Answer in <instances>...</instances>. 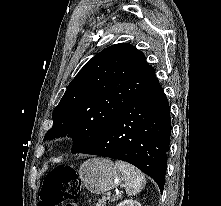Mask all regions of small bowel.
<instances>
[{"label":"small bowel","mask_w":221,"mask_h":206,"mask_svg":"<svg viewBox=\"0 0 221 206\" xmlns=\"http://www.w3.org/2000/svg\"><path fill=\"white\" fill-rule=\"evenodd\" d=\"M65 206H78V205L75 203H69V204H66Z\"/></svg>","instance_id":"1"}]
</instances>
